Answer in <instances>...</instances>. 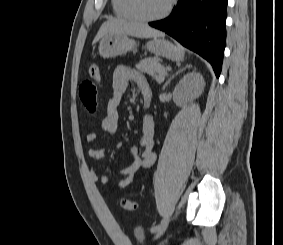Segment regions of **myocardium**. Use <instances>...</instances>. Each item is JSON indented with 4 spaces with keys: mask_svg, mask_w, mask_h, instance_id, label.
Segmentation results:
<instances>
[{
    "mask_svg": "<svg viewBox=\"0 0 283 245\" xmlns=\"http://www.w3.org/2000/svg\"><path fill=\"white\" fill-rule=\"evenodd\" d=\"M175 2L176 0H169L165 9L161 13L154 16H145L138 10L137 0H127L128 8L131 14L134 16L135 19L143 22H154L164 19L170 14L171 10L174 7Z\"/></svg>",
    "mask_w": 283,
    "mask_h": 245,
    "instance_id": "1",
    "label": "myocardium"
}]
</instances>
